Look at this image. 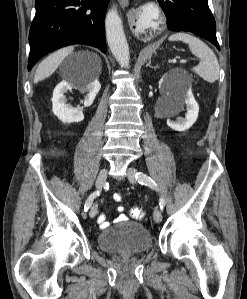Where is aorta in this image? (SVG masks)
I'll return each instance as SVG.
<instances>
[{
  "label": "aorta",
  "instance_id": "aorta-1",
  "mask_svg": "<svg viewBox=\"0 0 247 299\" xmlns=\"http://www.w3.org/2000/svg\"><path fill=\"white\" fill-rule=\"evenodd\" d=\"M105 29L107 43L113 56L121 67L128 68L130 64L129 46L116 7L107 13Z\"/></svg>",
  "mask_w": 247,
  "mask_h": 299
}]
</instances>
